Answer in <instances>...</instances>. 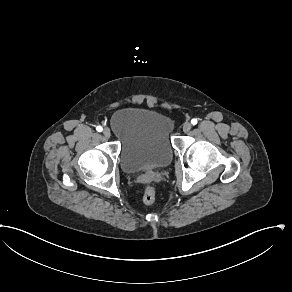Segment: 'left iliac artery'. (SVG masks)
<instances>
[{
  "label": "left iliac artery",
  "mask_w": 292,
  "mask_h": 292,
  "mask_svg": "<svg viewBox=\"0 0 292 292\" xmlns=\"http://www.w3.org/2000/svg\"><path fill=\"white\" fill-rule=\"evenodd\" d=\"M197 122H198V121H197V119H195V118L191 120V124H192V125H196Z\"/></svg>",
  "instance_id": "left-iliac-artery-1"
}]
</instances>
